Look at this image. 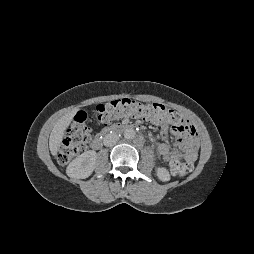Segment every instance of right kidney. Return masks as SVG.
Instances as JSON below:
<instances>
[{"mask_svg": "<svg viewBox=\"0 0 254 254\" xmlns=\"http://www.w3.org/2000/svg\"><path fill=\"white\" fill-rule=\"evenodd\" d=\"M97 153L89 150L76 157L67 167L66 173L71 178L85 179L89 177L96 164Z\"/></svg>", "mask_w": 254, "mask_h": 254, "instance_id": "1", "label": "right kidney"}]
</instances>
